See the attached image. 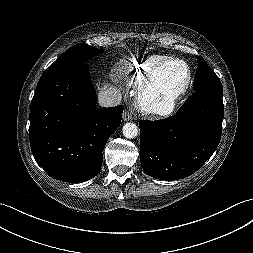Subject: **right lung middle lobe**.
Wrapping results in <instances>:
<instances>
[{
	"instance_id": "right-lung-middle-lobe-1",
	"label": "right lung middle lobe",
	"mask_w": 253,
	"mask_h": 253,
	"mask_svg": "<svg viewBox=\"0 0 253 253\" xmlns=\"http://www.w3.org/2000/svg\"><path fill=\"white\" fill-rule=\"evenodd\" d=\"M102 52L103 49H96L87 44L74 45L65 51L54 63H52L42 75L74 63L84 62L98 54H101Z\"/></svg>"
}]
</instances>
